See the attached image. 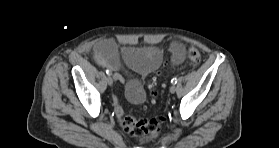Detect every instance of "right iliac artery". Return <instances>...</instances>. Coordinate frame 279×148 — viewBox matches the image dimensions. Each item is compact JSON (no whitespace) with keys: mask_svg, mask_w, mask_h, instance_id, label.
I'll list each match as a JSON object with an SVG mask.
<instances>
[{"mask_svg":"<svg viewBox=\"0 0 279 148\" xmlns=\"http://www.w3.org/2000/svg\"><path fill=\"white\" fill-rule=\"evenodd\" d=\"M107 75H111V72L109 70H106Z\"/></svg>","mask_w":279,"mask_h":148,"instance_id":"right-iliac-artery-1","label":"right iliac artery"}]
</instances>
